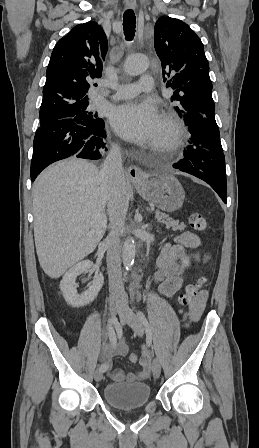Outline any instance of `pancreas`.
I'll return each instance as SVG.
<instances>
[{
  "instance_id": "cf45deb5",
  "label": "pancreas",
  "mask_w": 259,
  "mask_h": 448,
  "mask_svg": "<svg viewBox=\"0 0 259 448\" xmlns=\"http://www.w3.org/2000/svg\"><path fill=\"white\" fill-rule=\"evenodd\" d=\"M156 217L162 218L165 221L163 224H165L167 230H170V228H172L174 232H176V230H181L182 232V230H185L186 228L184 222H181V224H179V220H173V218H169L167 214H161V212H157Z\"/></svg>"
}]
</instances>
